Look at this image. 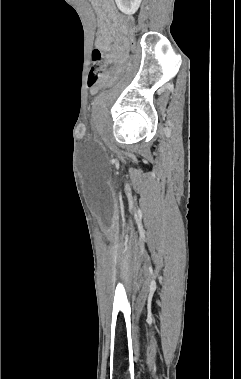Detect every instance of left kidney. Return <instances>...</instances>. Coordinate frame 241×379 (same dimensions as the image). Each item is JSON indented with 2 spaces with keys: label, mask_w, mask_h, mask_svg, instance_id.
<instances>
[{
  "label": "left kidney",
  "mask_w": 241,
  "mask_h": 379,
  "mask_svg": "<svg viewBox=\"0 0 241 379\" xmlns=\"http://www.w3.org/2000/svg\"><path fill=\"white\" fill-rule=\"evenodd\" d=\"M118 8L125 14H134L141 3V0H115Z\"/></svg>",
  "instance_id": "1"
}]
</instances>
